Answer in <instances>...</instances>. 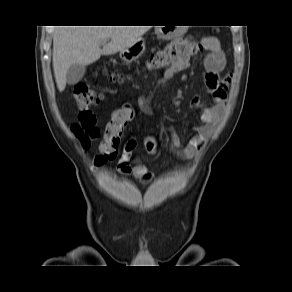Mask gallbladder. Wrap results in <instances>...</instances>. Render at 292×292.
<instances>
[{
  "label": "gallbladder",
  "mask_w": 292,
  "mask_h": 292,
  "mask_svg": "<svg viewBox=\"0 0 292 292\" xmlns=\"http://www.w3.org/2000/svg\"><path fill=\"white\" fill-rule=\"evenodd\" d=\"M86 67L83 65H72L66 73V82L69 85L78 83L84 76Z\"/></svg>",
  "instance_id": "1"
}]
</instances>
